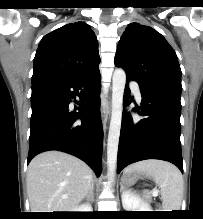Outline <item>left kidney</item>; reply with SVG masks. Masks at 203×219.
I'll return each mask as SVG.
<instances>
[{
  "instance_id": "5707ae66",
  "label": "left kidney",
  "mask_w": 203,
  "mask_h": 219,
  "mask_svg": "<svg viewBox=\"0 0 203 219\" xmlns=\"http://www.w3.org/2000/svg\"><path fill=\"white\" fill-rule=\"evenodd\" d=\"M121 199L126 211H152L149 204L129 190L122 193Z\"/></svg>"
}]
</instances>
